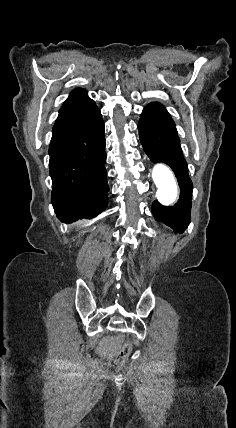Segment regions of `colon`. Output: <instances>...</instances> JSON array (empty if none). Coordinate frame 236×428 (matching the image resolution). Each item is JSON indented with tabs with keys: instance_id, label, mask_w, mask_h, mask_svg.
<instances>
[{
	"instance_id": "obj_1",
	"label": "colon",
	"mask_w": 236,
	"mask_h": 428,
	"mask_svg": "<svg viewBox=\"0 0 236 428\" xmlns=\"http://www.w3.org/2000/svg\"><path fill=\"white\" fill-rule=\"evenodd\" d=\"M133 350L132 343L127 341L125 342L119 351L116 353V362L118 365H123L126 360L129 358Z\"/></svg>"
}]
</instances>
